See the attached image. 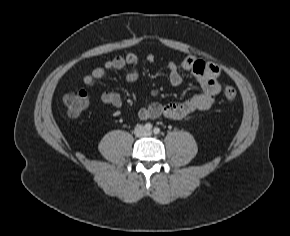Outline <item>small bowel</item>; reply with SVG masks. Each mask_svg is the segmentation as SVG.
Segmentation results:
<instances>
[{"label": "small bowel", "mask_w": 290, "mask_h": 236, "mask_svg": "<svg viewBox=\"0 0 290 236\" xmlns=\"http://www.w3.org/2000/svg\"><path fill=\"white\" fill-rule=\"evenodd\" d=\"M147 62L153 64L155 56H147ZM139 59L134 53H128L125 56H116L107 60L102 66L95 67L90 73L84 76L83 82L87 87H92L95 83L103 78L106 72L124 70L126 71V80L130 83L138 80L137 65ZM181 69L191 72L197 79L201 91L189 99L179 103H152L138 111V117L141 120L151 118L165 117L171 120H182L196 111L209 109L216 95L220 92L218 76L219 67L213 63H206L193 57H185L180 64L176 62L168 63L169 82L173 86H179L183 82ZM102 103L120 107L123 103L122 97L116 92H104L100 97Z\"/></svg>", "instance_id": "1"}]
</instances>
